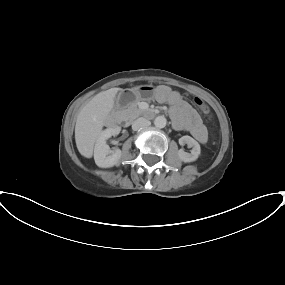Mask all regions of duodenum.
<instances>
[{"instance_id": "obj_1", "label": "duodenum", "mask_w": 285, "mask_h": 285, "mask_svg": "<svg viewBox=\"0 0 285 285\" xmlns=\"http://www.w3.org/2000/svg\"><path fill=\"white\" fill-rule=\"evenodd\" d=\"M157 113H158L157 110H155V109H150V108L144 109V110H142V112H141V114H142L144 117H146V118H153V117H155V116L157 115ZM117 121H118V123H120V124H123V123H124V121H123L121 118H118Z\"/></svg>"}]
</instances>
